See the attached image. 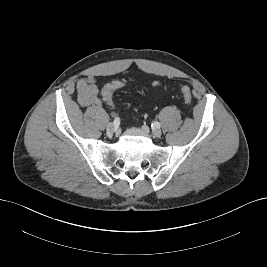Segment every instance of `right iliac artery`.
<instances>
[{
  "label": "right iliac artery",
  "mask_w": 267,
  "mask_h": 267,
  "mask_svg": "<svg viewBox=\"0 0 267 267\" xmlns=\"http://www.w3.org/2000/svg\"><path fill=\"white\" fill-rule=\"evenodd\" d=\"M115 126H118L120 124V119L118 117H116L113 121Z\"/></svg>",
  "instance_id": "right-iliac-artery-1"
}]
</instances>
